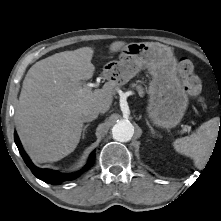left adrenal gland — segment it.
Returning a JSON list of instances; mask_svg holds the SVG:
<instances>
[{
  "mask_svg": "<svg viewBox=\"0 0 221 221\" xmlns=\"http://www.w3.org/2000/svg\"><path fill=\"white\" fill-rule=\"evenodd\" d=\"M146 124L148 125V127H149L151 133H152L154 136H159V135L157 134V132L153 129V127L150 125V123L148 122V120H146Z\"/></svg>",
  "mask_w": 221,
  "mask_h": 221,
  "instance_id": "obj_1",
  "label": "left adrenal gland"
}]
</instances>
